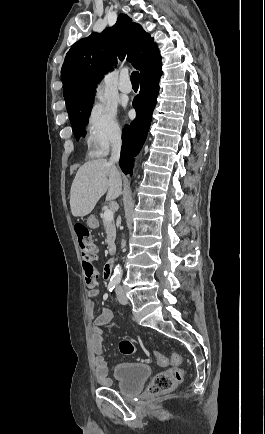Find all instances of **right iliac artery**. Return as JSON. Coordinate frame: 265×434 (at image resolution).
Returning <instances> with one entry per match:
<instances>
[{
	"instance_id": "82829eb1",
	"label": "right iliac artery",
	"mask_w": 265,
	"mask_h": 434,
	"mask_svg": "<svg viewBox=\"0 0 265 434\" xmlns=\"http://www.w3.org/2000/svg\"><path fill=\"white\" fill-rule=\"evenodd\" d=\"M116 285H117V282L110 281L109 284H108V290H109V292H112Z\"/></svg>"
}]
</instances>
